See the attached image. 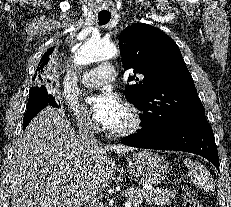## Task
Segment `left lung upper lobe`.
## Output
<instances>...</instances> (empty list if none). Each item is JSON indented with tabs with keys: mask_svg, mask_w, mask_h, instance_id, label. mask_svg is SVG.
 <instances>
[{
	"mask_svg": "<svg viewBox=\"0 0 231 207\" xmlns=\"http://www.w3.org/2000/svg\"><path fill=\"white\" fill-rule=\"evenodd\" d=\"M123 67L134 69L136 84L125 98L143 111L141 132L158 135L180 122L205 116L194 81L176 43L148 24L125 28L119 37Z\"/></svg>",
	"mask_w": 231,
	"mask_h": 207,
	"instance_id": "1",
	"label": "left lung upper lobe"
}]
</instances>
